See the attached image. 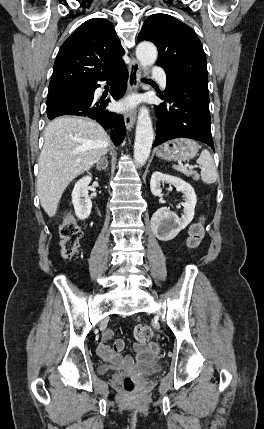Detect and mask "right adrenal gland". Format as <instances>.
Wrapping results in <instances>:
<instances>
[{
    "label": "right adrenal gland",
    "mask_w": 264,
    "mask_h": 429,
    "mask_svg": "<svg viewBox=\"0 0 264 429\" xmlns=\"http://www.w3.org/2000/svg\"><path fill=\"white\" fill-rule=\"evenodd\" d=\"M108 160L107 157L103 156L96 164L97 170H106L108 167Z\"/></svg>",
    "instance_id": "2a0ac1e0"
}]
</instances>
